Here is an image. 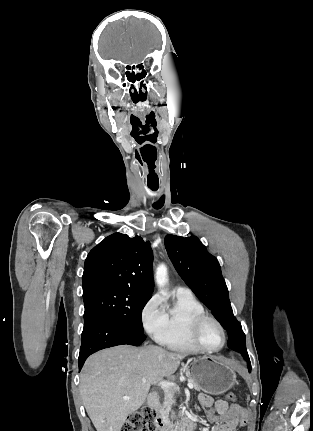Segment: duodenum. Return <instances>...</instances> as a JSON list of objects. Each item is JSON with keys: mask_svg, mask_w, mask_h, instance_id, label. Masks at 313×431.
<instances>
[{"mask_svg": "<svg viewBox=\"0 0 313 431\" xmlns=\"http://www.w3.org/2000/svg\"><path fill=\"white\" fill-rule=\"evenodd\" d=\"M159 397L157 393H150L147 397V406L155 409L158 405ZM156 428L158 431H193L194 421L192 418L183 419L178 426L174 429L166 420L163 415H157Z\"/></svg>", "mask_w": 313, "mask_h": 431, "instance_id": "410a0bca", "label": "duodenum"}]
</instances>
